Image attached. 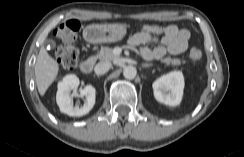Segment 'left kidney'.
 <instances>
[{
    "label": "left kidney",
    "instance_id": "obj_1",
    "mask_svg": "<svg viewBox=\"0 0 244 157\" xmlns=\"http://www.w3.org/2000/svg\"><path fill=\"white\" fill-rule=\"evenodd\" d=\"M152 87L157 101L169 106H177L183 96V74L181 71L170 72L158 78Z\"/></svg>",
    "mask_w": 244,
    "mask_h": 157
}]
</instances>
